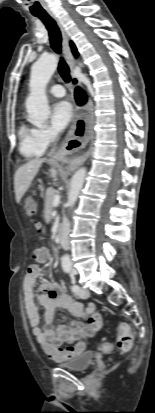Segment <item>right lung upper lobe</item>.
Returning a JSON list of instances; mask_svg holds the SVG:
<instances>
[{
  "label": "right lung upper lobe",
  "instance_id": "right-lung-upper-lobe-1",
  "mask_svg": "<svg viewBox=\"0 0 155 413\" xmlns=\"http://www.w3.org/2000/svg\"><path fill=\"white\" fill-rule=\"evenodd\" d=\"M70 45H71L72 52H73L74 56L77 57L78 52H77V49H76L75 45L72 42H70Z\"/></svg>",
  "mask_w": 155,
  "mask_h": 413
}]
</instances>
